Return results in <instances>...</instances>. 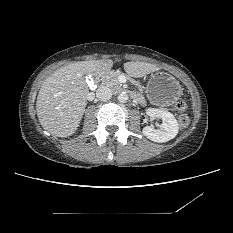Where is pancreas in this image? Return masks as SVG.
<instances>
[{"instance_id": "1", "label": "pancreas", "mask_w": 233, "mask_h": 233, "mask_svg": "<svg viewBox=\"0 0 233 233\" xmlns=\"http://www.w3.org/2000/svg\"><path fill=\"white\" fill-rule=\"evenodd\" d=\"M120 75H121V72L119 71L110 72L105 75L104 83L112 88L119 89L122 86V84L118 80Z\"/></svg>"}]
</instances>
